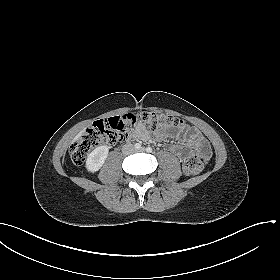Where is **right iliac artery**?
Masks as SVG:
<instances>
[{
  "mask_svg": "<svg viewBox=\"0 0 280 280\" xmlns=\"http://www.w3.org/2000/svg\"><path fill=\"white\" fill-rule=\"evenodd\" d=\"M134 146H135V148L138 149V150L141 149V144H139V143H136Z\"/></svg>",
  "mask_w": 280,
  "mask_h": 280,
  "instance_id": "obj_1",
  "label": "right iliac artery"
}]
</instances>
